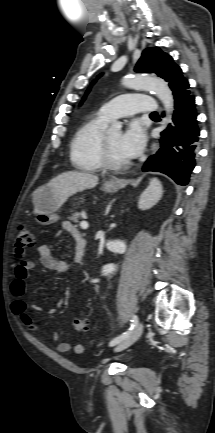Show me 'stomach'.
Listing matches in <instances>:
<instances>
[{
  "instance_id": "stomach-1",
  "label": "stomach",
  "mask_w": 215,
  "mask_h": 433,
  "mask_svg": "<svg viewBox=\"0 0 215 433\" xmlns=\"http://www.w3.org/2000/svg\"><path fill=\"white\" fill-rule=\"evenodd\" d=\"M103 191L114 193L119 189L115 183H106L103 186ZM33 202L35 210H37V222L41 225H50L59 220L57 210L60 203L54 190L49 186H42L36 189L33 193Z\"/></svg>"
}]
</instances>
